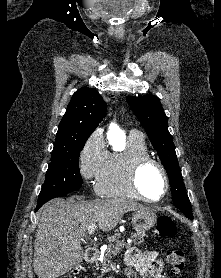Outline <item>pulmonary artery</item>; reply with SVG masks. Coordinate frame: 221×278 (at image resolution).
<instances>
[{
  "mask_svg": "<svg viewBox=\"0 0 221 278\" xmlns=\"http://www.w3.org/2000/svg\"><path fill=\"white\" fill-rule=\"evenodd\" d=\"M131 134L142 136V135H141L138 131H136V130H131Z\"/></svg>",
  "mask_w": 221,
  "mask_h": 278,
  "instance_id": "1",
  "label": "pulmonary artery"
}]
</instances>
